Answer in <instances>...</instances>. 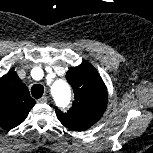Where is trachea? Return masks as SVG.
<instances>
[{
	"label": "trachea",
	"mask_w": 153,
	"mask_h": 153,
	"mask_svg": "<svg viewBox=\"0 0 153 153\" xmlns=\"http://www.w3.org/2000/svg\"><path fill=\"white\" fill-rule=\"evenodd\" d=\"M44 93V87L41 84H35L31 87V94L34 98L39 99Z\"/></svg>",
	"instance_id": "1"
}]
</instances>
